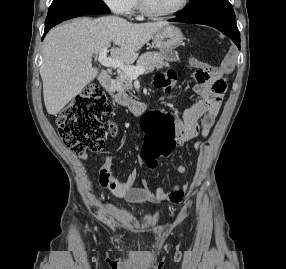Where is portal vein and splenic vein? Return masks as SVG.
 Instances as JSON below:
<instances>
[{"instance_id": "18ae733b", "label": "portal vein and splenic vein", "mask_w": 286, "mask_h": 269, "mask_svg": "<svg viewBox=\"0 0 286 269\" xmlns=\"http://www.w3.org/2000/svg\"><path fill=\"white\" fill-rule=\"evenodd\" d=\"M107 52V47H104L102 48L98 56V61L103 66L110 68H119L133 79H136L139 75L145 73V69L143 67L125 65L120 60L114 59L112 57H107Z\"/></svg>"}]
</instances>
